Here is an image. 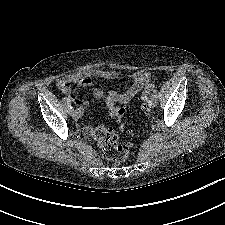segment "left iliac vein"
<instances>
[{
    "label": "left iliac vein",
    "instance_id": "left-iliac-vein-1",
    "mask_svg": "<svg viewBox=\"0 0 225 225\" xmlns=\"http://www.w3.org/2000/svg\"><path fill=\"white\" fill-rule=\"evenodd\" d=\"M157 97H155V96H152L151 97V99H150V106L152 107V108H154V107H156L157 106Z\"/></svg>",
    "mask_w": 225,
    "mask_h": 225
}]
</instances>
